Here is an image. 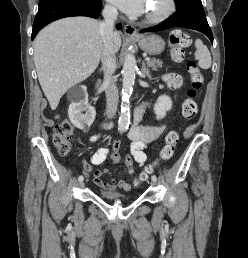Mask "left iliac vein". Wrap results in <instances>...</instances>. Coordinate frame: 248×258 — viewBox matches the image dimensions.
Wrapping results in <instances>:
<instances>
[{
    "label": "left iliac vein",
    "instance_id": "4c4485c4",
    "mask_svg": "<svg viewBox=\"0 0 248 258\" xmlns=\"http://www.w3.org/2000/svg\"><path fill=\"white\" fill-rule=\"evenodd\" d=\"M150 184H151L152 186H155L156 183H155V181L151 180Z\"/></svg>",
    "mask_w": 248,
    "mask_h": 258
}]
</instances>
